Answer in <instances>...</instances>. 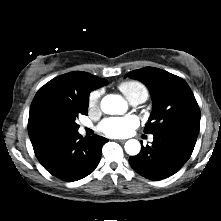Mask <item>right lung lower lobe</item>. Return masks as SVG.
Returning a JSON list of instances; mask_svg holds the SVG:
<instances>
[{
  "mask_svg": "<svg viewBox=\"0 0 221 221\" xmlns=\"http://www.w3.org/2000/svg\"><path fill=\"white\" fill-rule=\"evenodd\" d=\"M106 142L108 139L98 135L83 138L78 132L66 134L36 157L53 176L68 182L77 181L97 167Z\"/></svg>",
  "mask_w": 221,
  "mask_h": 221,
  "instance_id": "1",
  "label": "right lung lower lobe"
}]
</instances>
